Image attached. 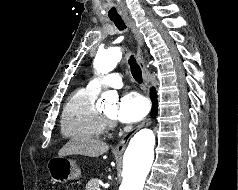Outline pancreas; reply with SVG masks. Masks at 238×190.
Segmentation results:
<instances>
[{
	"mask_svg": "<svg viewBox=\"0 0 238 190\" xmlns=\"http://www.w3.org/2000/svg\"><path fill=\"white\" fill-rule=\"evenodd\" d=\"M99 188V181L97 179H91L86 184V190H98Z\"/></svg>",
	"mask_w": 238,
	"mask_h": 190,
	"instance_id": "obj_1",
	"label": "pancreas"
}]
</instances>
